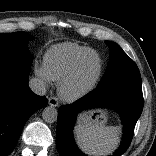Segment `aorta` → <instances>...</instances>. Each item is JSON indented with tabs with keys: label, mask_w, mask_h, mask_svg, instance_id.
<instances>
[{
	"label": "aorta",
	"mask_w": 156,
	"mask_h": 156,
	"mask_svg": "<svg viewBox=\"0 0 156 156\" xmlns=\"http://www.w3.org/2000/svg\"><path fill=\"white\" fill-rule=\"evenodd\" d=\"M58 111L55 107L48 106L42 112V118L47 123H54L57 121Z\"/></svg>",
	"instance_id": "obj_1"
}]
</instances>
